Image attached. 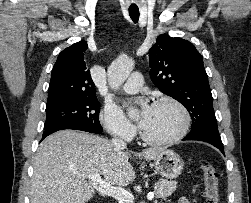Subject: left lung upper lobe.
<instances>
[{
    "label": "left lung upper lobe",
    "instance_id": "5c2ea615",
    "mask_svg": "<svg viewBox=\"0 0 251 203\" xmlns=\"http://www.w3.org/2000/svg\"><path fill=\"white\" fill-rule=\"evenodd\" d=\"M149 65L152 82L190 113L189 135H219L203 58L195 46L182 38L161 34L149 50Z\"/></svg>",
    "mask_w": 251,
    "mask_h": 203
}]
</instances>
